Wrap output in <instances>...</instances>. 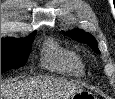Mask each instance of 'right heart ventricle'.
<instances>
[{"label": "right heart ventricle", "mask_w": 115, "mask_h": 99, "mask_svg": "<svg viewBox=\"0 0 115 99\" xmlns=\"http://www.w3.org/2000/svg\"><path fill=\"white\" fill-rule=\"evenodd\" d=\"M41 65L53 72L79 77L84 74L81 57L53 39L45 42L41 53Z\"/></svg>", "instance_id": "right-heart-ventricle-1"}]
</instances>
